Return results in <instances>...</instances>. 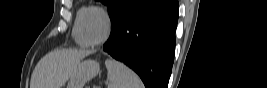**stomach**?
Instances as JSON below:
<instances>
[{"label": "stomach", "mask_w": 267, "mask_h": 88, "mask_svg": "<svg viewBox=\"0 0 267 88\" xmlns=\"http://www.w3.org/2000/svg\"><path fill=\"white\" fill-rule=\"evenodd\" d=\"M99 71V63L95 60L88 59L80 62L70 76L67 88H83Z\"/></svg>", "instance_id": "1"}]
</instances>
